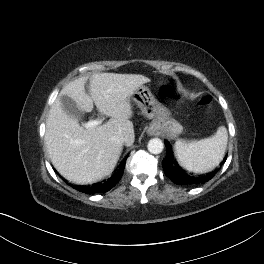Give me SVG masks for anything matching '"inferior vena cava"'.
I'll return each instance as SVG.
<instances>
[{
	"label": "inferior vena cava",
	"mask_w": 264,
	"mask_h": 264,
	"mask_svg": "<svg viewBox=\"0 0 264 264\" xmlns=\"http://www.w3.org/2000/svg\"><path fill=\"white\" fill-rule=\"evenodd\" d=\"M111 140L114 141V142H116V143H118V144H120V145L125 144L126 141H127L124 137H119V136H113L111 138Z\"/></svg>",
	"instance_id": "obj_1"
}]
</instances>
